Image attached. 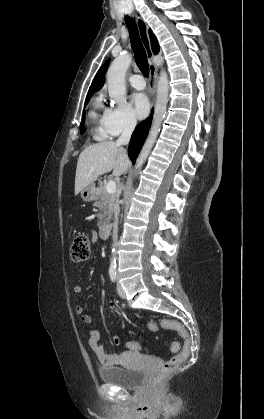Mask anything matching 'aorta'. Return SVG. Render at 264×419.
I'll use <instances>...</instances> for the list:
<instances>
[{
    "mask_svg": "<svg viewBox=\"0 0 264 419\" xmlns=\"http://www.w3.org/2000/svg\"><path fill=\"white\" fill-rule=\"evenodd\" d=\"M131 61V55H120L115 58L107 71L109 96L115 103H123L126 100L125 74L131 64ZM168 91V75L165 71H161L157 83L156 104L152 126L148 138L136 160V170H139L142 167L156 141L167 108ZM115 264V257H112L111 266H115Z\"/></svg>",
    "mask_w": 264,
    "mask_h": 419,
    "instance_id": "aorta-1",
    "label": "aorta"
}]
</instances>
